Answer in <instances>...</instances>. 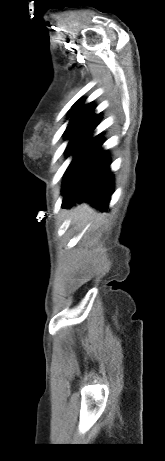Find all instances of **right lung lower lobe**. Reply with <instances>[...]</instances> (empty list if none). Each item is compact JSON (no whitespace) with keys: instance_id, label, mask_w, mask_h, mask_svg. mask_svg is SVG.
I'll use <instances>...</instances> for the list:
<instances>
[{"instance_id":"98d812e1","label":"right lung lower lobe","mask_w":165,"mask_h":461,"mask_svg":"<svg viewBox=\"0 0 165 461\" xmlns=\"http://www.w3.org/2000/svg\"><path fill=\"white\" fill-rule=\"evenodd\" d=\"M102 135H97L68 167L62 187V207L88 201L96 208L106 210L114 191L111 160L104 151Z\"/></svg>"}]
</instances>
